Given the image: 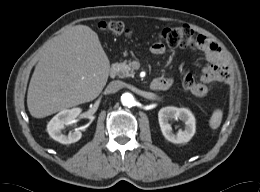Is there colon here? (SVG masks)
<instances>
[{"label": "colon", "instance_id": "5ec220e1", "mask_svg": "<svg viewBox=\"0 0 260 192\" xmlns=\"http://www.w3.org/2000/svg\"><path fill=\"white\" fill-rule=\"evenodd\" d=\"M102 31L110 32L116 36L129 37L130 30L119 21H104L99 23ZM158 37L161 41L174 47H195L199 46L200 38L187 26L164 28L159 31ZM183 85L189 91L196 90V81L191 74H186L183 78Z\"/></svg>", "mask_w": 260, "mask_h": 192}]
</instances>
